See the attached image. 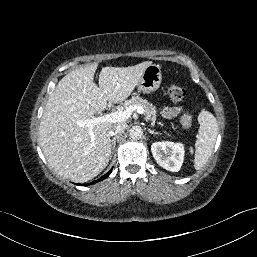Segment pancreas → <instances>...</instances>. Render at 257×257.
Here are the masks:
<instances>
[{
  "mask_svg": "<svg viewBox=\"0 0 257 257\" xmlns=\"http://www.w3.org/2000/svg\"><path fill=\"white\" fill-rule=\"evenodd\" d=\"M133 105H139L144 108V115H145V120L146 121H151V126L155 125L156 122V107L149 103L147 100L142 99L140 96L136 95L133 96L131 99L126 100L123 103V107H129Z\"/></svg>",
  "mask_w": 257,
  "mask_h": 257,
  "instance_id": "obj_1",
  "label": "pancreas"
}]
</instances>
